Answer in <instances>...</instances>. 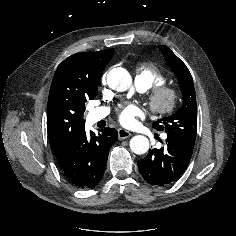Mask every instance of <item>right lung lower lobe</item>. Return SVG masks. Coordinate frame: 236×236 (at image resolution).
Returning <instances> with one entry per match:
<instances>
[{"label": "right lung lower lobe", "instance_id": "98d812e1", "mask_svg": "<svg viewBox=\"0 0 236 236\" xmlns=\"http://www.w3.org/2000/svg\"><path fill=\"white\" fill-rule=\"evenodd\" d=\"M117 138V130L109 127L101 129L97 136L93 132L86 135L85 128L81 130L69 154L58 162L67 180L80 189L95 187Z\"/></svg>", "mask_w": 236, "mask_h": 236}]
</instances>
